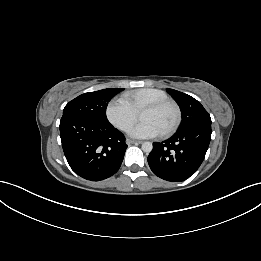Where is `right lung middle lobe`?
Segmentation results:
<instances>
[{"label": "right lung middle lobe", "mask_w": 261, "mask_h": 261, "mask_svg": "<svg viewBox=\"0 0 261 261\" xmlns=\"http://www.w3.org/2000/svg\"><path fill=\"white\" fill-rule=\"evenodd\" d=\"M123 88L103 89L84 93L70 101L63 110V115H73L97 122H108L106 108L108 102Z\"/></svg>", "instance_id": "dd1d6c3e"}]
</instances>
